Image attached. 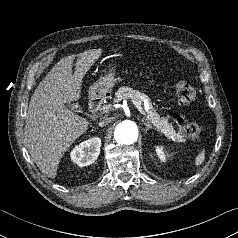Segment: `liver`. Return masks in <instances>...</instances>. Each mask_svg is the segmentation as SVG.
Masks as SVG:
<instances>
[{
  "label": "liver",
  "instance_id": "liver-1",
  "mask_svg": "<svg viewBox=\"0 0 238 238\" xmlns=\"http://www.w3.org/2000/svg\"><path fill=\"white\" fill-rule=\"evenodd\" d=\"M102 49L62 58L45 76L31 97L24 129L26 147L38 168L55 178L63 154L88 129L89 122L66 103L81 97L83 77L99 59ZM77 57L75 72L73 61Z\"/></svg>",
  "mask_w": 238,
  "mask_h": 238
}]
</instances>
